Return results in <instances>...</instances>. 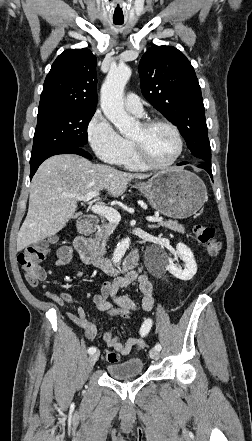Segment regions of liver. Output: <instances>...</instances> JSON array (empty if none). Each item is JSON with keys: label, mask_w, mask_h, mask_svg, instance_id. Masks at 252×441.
Masks as SVG:
<instances>
[{"label": "liver", "mask_w": 252, "mask_h": 441, "mask_svg": "<svg viewBox=\"0 0 252 441\" xmlns=\"http://www.w3.org/2000/svg\"><path fill=\"white\" fill-rule=\"evenodd\" d=\"M148 174L122 172L107 165L93 164L78 155H55L44 161L34 175L28 213L17 236V251L51 237L74 217L76 198L106 189L121 196L132 179Z\"/></svg>", "instance_id": "obj_1"}]
</instances>
